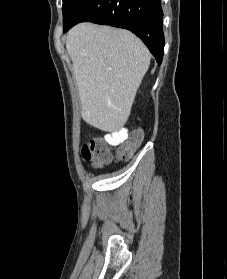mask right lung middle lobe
Returning <instances> with one entry per match:
<instances>
[{
	"instance_id": "1",
	"label": "right lung middle lobe",
	"mask_w": 227,
	"mask_h": 279,
	"mask_svg": "<svg viewBox=\"0 0 227 279\" xmlns=\"http://www.w3.org/2000/svg\"><path fill=\"white\" fill-rule=\"evenodd\" d=\"M84 0H63V32L65 33L71 26L76 12Z\"/></svg>"
}]
</instances>
